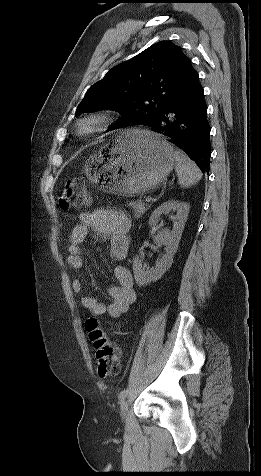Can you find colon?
Segmentation results:
<instances>
[{
    "mask_svg": "<svg viewBox=\"0 0 261 476\" xmlns=\"http://www.w3.org/2000/svg\"><path fill=\"white\" fill-rule=\"evenodd\" d=\"M89 202L90 196L81 178L68 180L58 197L59 207L63 210L86 206ZM85 328L95 349L98 376L103 379L116 376L120 368L117 345L107 337L96 317L87 318Z\"/></svg>",
    "mask_w": 261,
    "mask_h": 476,
    "instance_id": "obj_1",
    "label": "colon"
}]
</instances>
